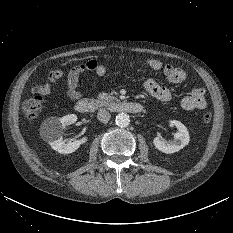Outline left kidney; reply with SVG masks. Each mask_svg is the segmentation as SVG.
<instances>
[{
  "label": "left kidney",
  "mask_w": 233,
  "mask_h": 233,
  "mask_svg": "<svg viewBox=\"0 0 233 233\" xmlns=\"http://www.w3.org/2000/svg\"><path fill=\"white\" fill-rule=\"evenodd\" d=\"M174 125L178 132L174 135V140L164 141L159 137L154 138V146L161 152L166 154H171L183 149L189 143V132L187 128L180 121L172 120L170 121Z\"/></svg>",
  "instance_id": "obj_1"
}]
</instances>
